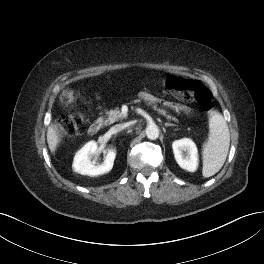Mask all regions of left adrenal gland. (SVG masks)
Segmentation results:
<instances>
[{"instance_id":"1","label":"left adrenal gland","mask_w":264,"mask_h":264,"mask_svg":"<svg viewBox=\"0 0 264 264\" xmlns=\"http://www.w3.org/2000/svg\"><path fill=\"white\" fill-rule=\"evenodd\" d=\"M165 126L168 127V126H176L175 124H171V123H165Z\"/></svg>"}]
</instances>
